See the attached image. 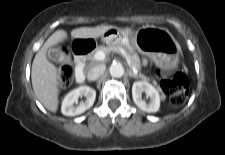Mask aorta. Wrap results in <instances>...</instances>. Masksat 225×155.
<instances>
[{
  "label": "aorta",
  "mask_w": 225,
  "mask_h": 155,
  "mask_svg": "<svg viewBox=\"0 0 225 155\" xmlns=\"http://www.w3.org/2000/svg\"><path fill=\"white\" fill-rule=\"evenodd\" d=\"M110 75L115 78H120L124 75V67L120 63L112 64L110 66Z\"/></svg>",
  "instance_id": "1"
}]
</instances>
